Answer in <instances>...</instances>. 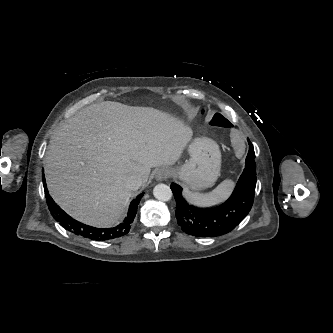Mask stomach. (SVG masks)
<instances>
[{"label": "stomach", "mask_w": 333, "mask_h": 333, "mask_svg": "<svg viewBox=\"0 0 333 333\" xmlns=\"http://www.w3.org/2000/svg\"><path fill=\"white\" fill-rule=\"evenodd\" d=\"M189 160L171 168L174 177L194 191L212 186L220 175L221 152L218 144L210 138H195L188 146Z\"/></svg>", "instance_id": "stomach-1"}]
</instances>
